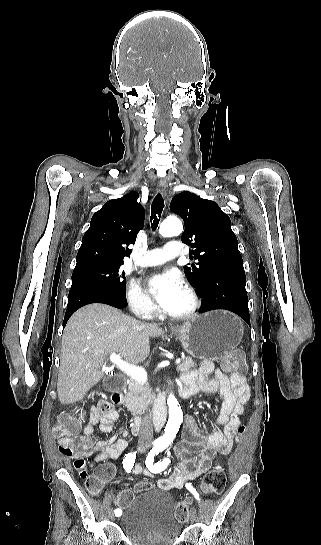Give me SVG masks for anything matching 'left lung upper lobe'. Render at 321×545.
Wrapping results in <instances>:
<instances>
[{"instance_id": "left-lung-upper-lobe-1", "label": "left lung upper lobe", "mask_w": 321, "mask_h": 545, "mask_svg": "<svg viewBox=\"0 0 321 545\" xmlns=\"http://www.w3.org/2000/svg\"><path fill=\"white\" fill-rule=\"evenodd\" d=\"M170 209L183 218L181 240L191 246L190 254L198 260L184 267L185 275L196 287L200 288L213 271L243 263L231 220L215 202L182 192L172 199Z\"/></svg>"}]
</instances>
